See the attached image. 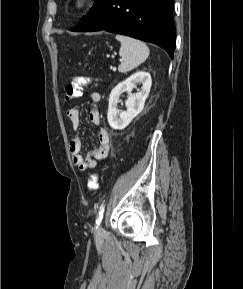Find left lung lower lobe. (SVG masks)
<instances>
[{
	"mask_svg": "<svg viewBox=\"0 0 243 289\" xmlns=\"http://www.w3.org/2000/svg\"><path fill=\"white\" fill-rule=\"evenodd\" d=\"M174 0H96L70 31H108L154 43L173 58L176 34Z\"/></svg>",
	"mask_w": 243,
	"mask_h": 289,
	"instance_id": "obj_1",
	"label": "left lung lower lobe"
}]
</instances>
